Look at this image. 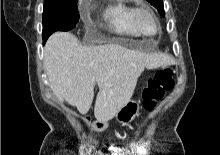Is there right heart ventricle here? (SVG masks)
<instances>
[{"label": "right heart ventricle", "mask_w": 220, "mask_h": 155, "mask_svg": "<svg viewBox=\"0 0 220 155\" xmlns=\"http://www.w3.org/2000/svg\"><path fill=\"white\" fill-rule=\"evenodd\" d=\"M135 7L125 0H111L102 11V18L111 32L129 37H137L139 34L132 23V14Z\"/></svg>", "instance_id": "obj_1"}]
</instances>
